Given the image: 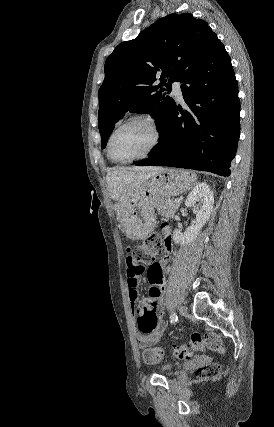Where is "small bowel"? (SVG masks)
Listing matches in <instances>:
<instances>
[{
    "instance_id": "small-bowel-1",
    "label": "small bowel",
    "mask_w": 274,
    "mask_h": 427,
    "mask_svg": "<svg viewBox=\"0 0 274 427\" xmlns=\"http://www.w3.org/2000/svg\"><path fill=\"white\" fill-rule=\"evenodd\" d=\"M130 250V247H127ZM126 260H132V255H126ZM171 257L168 256L157 263L162 269V277L159 280L157 271L160 267L156 264H148L143 266L142 269H128L126 275L128 286V299L132 307L138 300L137 285L139 278H148L150 286L148 287V299H140L139 304L136 305V318L138 319V326L142 332H154L149 335L138 334L137 340L140 348L143 345H152L157 342L163 335L166 328V320L164 318L163 305L160 304V297L165 293L167 283L165 278L166 266L170 263ZM149 310V311H148ZM149 320V322H148Z\"/></svg>"
}]
</instances>
